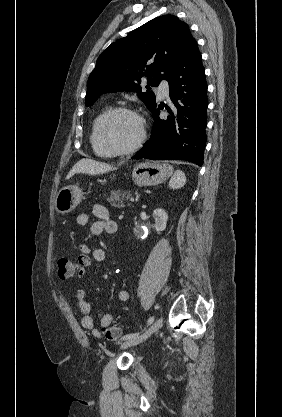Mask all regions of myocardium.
I'll list each match as a JSON object with an SVG mask.
<instances>
[{"instance_id":"1","label":"myocardium","mask_w":282,"mask_h":417,"mask_svg":"<svg viewBox=\"0 0 282 417\" xmlns=\"http://www.w3.org/2000/svg\"><path fill=\"white\" fill-rule=\"evenodd\" d=\"M120 115H129L134 118H136L140 125V134L138 138L131 144L125 145V146H115L113 145L109 140V127L112 123V121L120 116ZM146 125L143 117L138 114L136 111L118 107L115 109H112L103 119L101 126H100V138H101V144L102 146L110 153V154H120V153H126L130 152L132 150H135L139 146L142 145V143L146 139Z\"/></svg>"}]
</instances>
